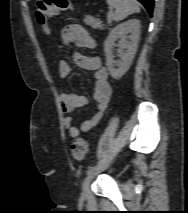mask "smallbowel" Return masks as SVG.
Instances as JSON below:
<instances>
[{
    "mask_svg": "<svg viewBox=\"0 0 188 213\" xmlns=\"http://www.w3.org/2000/svg\"><path fill=\"white\" fill-rule=\"evenodd\" d=\"M74 44L79 48L93 49L95 40L90 33L79 24L66 25L60 33V48L63 49ZM73 59L77 66L94 72L95 86L93 98L96 102V113L88 120H85L78 128L73 124L71 113L88 103V99L83 94L64 92L60 94V103L65 116L63 118L64 126L70 137L76 138L81 132H89L94 128L103 117L110 98L112 96V87L109 82L107 69L102 65L98 56H88L79 52L73 53ZM58 72L62 78H66L71 72L70 64L61 59L58 62Z\"/></svg>",
    "mask_w": 188,
    "mask_h": 213,
    "instance_id": "1",
    "label": "small bowel"
}]
</instances>
